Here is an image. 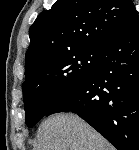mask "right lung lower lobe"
<instances>
[{
    "label": "right lung lower lobe",
    "mask_w": 139,
    "mask_h": 150,
    "mask_svg": "<svg viewBox=\"0 0 139 150\" xmlns=\"http://www.w3.org/2000/svg\"><path fill=\"white\" fill-rule=\"evenodd\" d=\"M73 112L118 150H139V17L103 47L90 75L46 114Z\"/></svg>",
    "instance_id": "obj_1"
}]
</instances>
